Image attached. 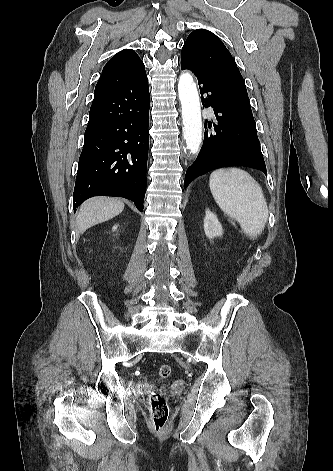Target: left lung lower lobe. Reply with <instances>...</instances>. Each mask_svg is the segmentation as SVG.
<instances>
[{
  "label": "left lung lower lobe",
  "instance_id": "0a47b994",
  "mask_svg": "<svg viewBox=\"0 0 333 471\" xmlns=\"http://www.w3.org/2000/svg\"><path fill=\"white\" fill-rule=\"evenodd\" d=\"M181 68L194 72L203 106H212L216 117L214 128L205 131L201 150L187 169L184 185L187 186L198 175L228 166L255 168L267 175L255 121L238 108L208 75L184 60H181ZM211 126L212 123L208 124L209 128Z\"/></svg>",
  "mask_w": 333,
  "mask_h": 471
}]
</instances>
